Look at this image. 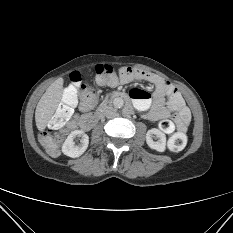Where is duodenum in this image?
<instances>
[{
	"instance_id": "duodenum-1",
	"label": "duodenum",
	"mask_w": 233,
	"mask_h": 233,
	"mask_svg": "<svg viewBox=\"0 0 233 233\" xmlns=\"http://www.w3.org/2000/svg\"><path fill=\"white\" fill-rule=\"evenodd\" d=\"M116 99H122L126 102L130 101V97L126 93L114 92L109 96L107 103ZM107 103L95 113L82 116L79 120V126L85 131L93 128L102 117L104 110L106 109Z\"/></svg>"
}]
</instances>
